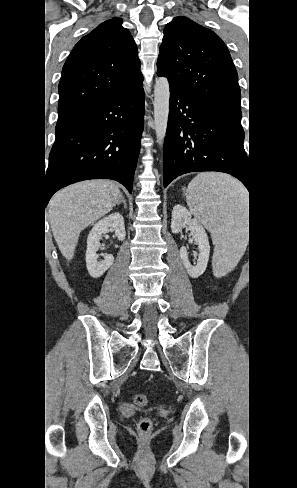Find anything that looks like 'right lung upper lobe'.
<instances>
[{"mask_svg": "<svg viewBox=\"0 0 297 488\" xmlns=\"http://www.w3.org/2000/svg\"><path fill=\"white\" fill-rule=\"evenodd\" d=\"M120 18L101 23L68 56L58 86L57 125L143 78L137 46Z\"/></svg>", "mask_w": 297, "mask_h": 488, "instance_id": "cb5924a9", "label": "right lung upper lobe"}]
</instances>
